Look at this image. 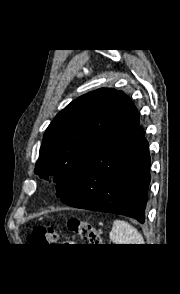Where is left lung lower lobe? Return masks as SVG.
<instances>
[{
	"label": "left lung lower lobe",
	"mask_w": 180,
	"mask_h": 294,
	"mask_svg": "<svg viewBox=\"0 0 180 294\" xmlns=\"http://www.w3.org/2000/svg\"><path fill=\"white\" fill-rule=\"evenodd\" d=\"M148 142L132 103L61 201L77 208L145 221L150 183Z\"/></svg>",
	"instance_id": "obj_1"
}]
</instances>
